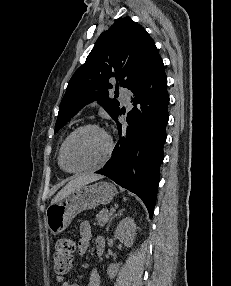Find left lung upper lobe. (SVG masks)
Instances as JSON below:
<instances>
[{
    "label": "left lung upper lobe",
    "mask_w": 231,
    "mask_h": 286,
    "mask_svg": "<svg viewBox=\"0 0 231 286\" xmlns=\"http://www.w3.org/2000/svg\"><path fill=\"white\" fill-rule=\"evenodd\" d=\"M157 47L146 30L130 17L119 18L103 32L95 43L86 62L70 79L59 107L55 133L83 106L99 100L115 119L120 108L116 99L108 98L112 88L110 78L128 88L158 60Z\"/></svg>",
    "instance_id": "1"
}]
</instances>
